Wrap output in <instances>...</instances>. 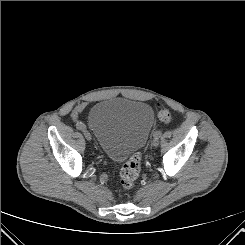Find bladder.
Here are the masks:
<instances>
[{"label":"bladder","mask_w":245,"mask_h":245,"mask_svg":"<svg viewBox=\"0 0 245 245\" xmlns=\"http://www.w3.org/2000/svg\"><path fill=\"white\" fill-rule=\"evenodd\" d=\"M154 122L153 109L146 103L112 98L95 104L87 123L102 152L122 161L140 150L148 140Z\"/></svg>","instance_id":"obj_1"}]
</instances>
